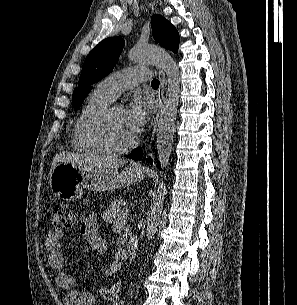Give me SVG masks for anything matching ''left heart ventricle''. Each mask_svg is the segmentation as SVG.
<instances>
[{
	"label": "left heart ventricle",
	"mask_w": 297,
	"mask_h": 305,
	"mask_svg": "<svg viewBox=\"0 0 297 305\" xmlns=\"http://www.w3.org/2000/svg\"><path fill=\"white\" fill-rule=\"evenodd\" d=\"M102 129L104 139L112 147H122L135 138L125 123L123 111L119 108L110 114Z\"/></svg>",
	"instance_id": "left-heart-ventricle-1"
}]
</instances>
